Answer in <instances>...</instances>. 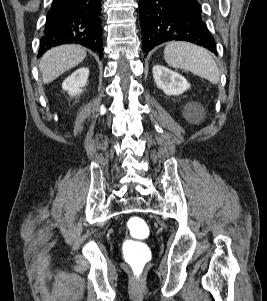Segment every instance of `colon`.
I'll list each match as a JSON object with an SVG mask.
<instances>
[{
	"instance_id": "5ec220e1",
	"label": "colon",
	"mask_w": 267,
	"mask_h": 301,
	"mask_svg": "<svg viewBox=\"0 0 267 301\" xmlns=\"http://www.w3.org/2000/svg\"><path fill=\"white\" fill-rule=\"evenodd\" d=\"M129 238L124 242L123 252L133 275L139 278L151 258V252L142 240L148 237L149 227L144 219L132 216L127 223Z\"/></svg>"
}]
</instances>
